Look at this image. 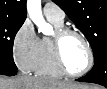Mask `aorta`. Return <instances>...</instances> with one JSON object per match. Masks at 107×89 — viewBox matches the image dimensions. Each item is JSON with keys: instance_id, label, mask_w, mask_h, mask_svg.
<instances>
[{"instance_id": "obj_1", "label": "aorta", "mask_w": 107, "mask_h": 89, "mask_svg": "<svg viewBox=\"0 0 107 89\" xmlns=\"http://www.w3.org/2000/svg\"><path fill=\"white\" fill-rule=\"evenodd\" d=\"M27 12L31 20L38 27V30L45 35H50L53 32V28L48 24L43 17L41 9V0H28Z\"/></svg>"}]
</instances>
